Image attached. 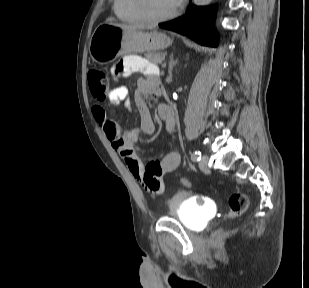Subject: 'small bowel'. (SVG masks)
Segmentation results:
<instances>
[{
    "instance_id": "small-bowel-1",
    "label": "small bowel",
    "mask_w": 309,
    "mask_h": 288,
    "mask_svg": "<svg viewBox=\"0 0 309 288\" xmlns=\"http://www.w3.org/2000/svg\"><path fill=\"white\" fill-rule=\"evenodd\" d=\"M111 72L116 80L132 72H141L145 75L138 80L137 91L134 96L140 125L137 129L125 132L118 124L107 118L105 109L100 105L94 106L92 109L94 118L102 127L112 148L122 157L133 178L138 180L149 193L161 194L164 190L165 177L180 164V155L176 151H170L160 160H152L145 165L139 159V148L136 146L141 133L154 134L156 131L143 95L157 96L159 94L157 69L154 64L142 57L127 55L112 67ZM129 95V88L120 85L110 92L109 102L116 107L122 105L129 110L131 108ZM158 114L164 121L166 130L173 133L175 130L174 110L168 105L160 104Z\"/></svg>"
}]
</instances>
